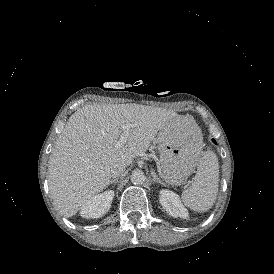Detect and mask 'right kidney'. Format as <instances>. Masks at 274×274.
I'll use <instances>...</instances> for the list:
<instances>
[{
  "label": "right kidney",
  "instance_id": "right-kidney-1",
  "mask_svg": "<svg viewBox=\"0 0 274 274\" xmlns=\"http://www.w3.org/2000/svg\"><path fill=\"white\" fill-rule=\"evenodd\" d=\"M113 197L112 190L91 197L82 205L80 216L86 219L102 217L109 211Z\"/></svg>",
  "mask_w": 274,
  "mask_h": 274
}]
</instances>
